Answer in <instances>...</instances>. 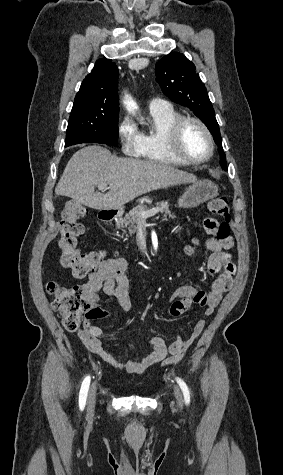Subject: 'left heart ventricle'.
I'll list each match as a JSON object with an SVG mask.
<instances>
[{"label":"left heart ventricle","instance_id":"obj_1","mask_svg":"<svg viewBox=\"0 0 283 475\" xmlns=\"http://www.w3.org/2000/svg\"><path fill=\"white\" fill-rule=\"evenodd\" d=\"M167 154L173 158H201L209 152L208 140L202 129L193 122L184 125L179 143H167Z\"/></svg>","mask_w":283,"mask_h":475}]
</instances>
